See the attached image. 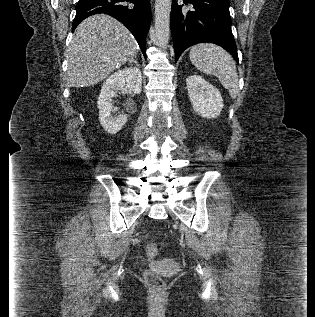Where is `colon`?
Masks as SVG:
<instances>
[{
    "label": "colon",
    "instance_id": "5ec220e1",
    "mask_svg": "<svg viewBox=\"0 0 315 317\" xmlns=\"http://www.w3.org/2000/svg\"><path fill=\"white\" fill-rule=\"evenodd\" d=\"M145 250L149 257H155L159 253L158 246L152 242L146 244ZM144 278L148 285L156 292H161L164 289V282L156 273L146 270L144 272Z\"/></svg>",
    "mask_w": 315,
    "mask_h": 317
}]
</instances>
